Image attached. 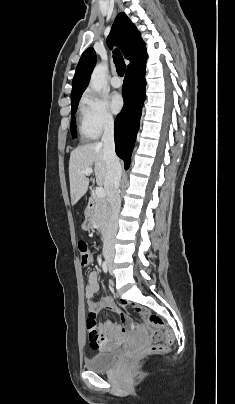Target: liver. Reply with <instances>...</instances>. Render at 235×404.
Returning <instances> with one entry per match:
<instances>
[{"mask_svg": "<svg viewBox=\"0 0 235 404\" xmlns=\"http://www.w3.org/2000/svg\"><path fill=\"white\" fill-rule=\"evenodd\" d=\"M92 166H94L97 185L104 186L106 191L107 167L104 159L103 144L100 142L79 146L70 154L69 180L72 205H75L87 192L92 179L87 177L85 169L92 168Z\"/></svg>", "mask_w": 235, "mask_h": 404, "instance_id": "1", "label": "liver"}]
</instances>
